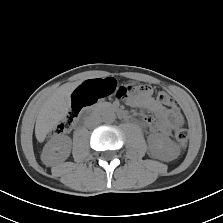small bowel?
I'll return each instance as SVG.
<instances>
[{"label": "small bowel", "mask_w": 223, "mask_h": 223, "mask_svg": "<svg viewBox=\"0 0 223 223\" xmlns=\"http://www.w3.org/2000/svg\"><path fill=\"white\" fill-rule=\"evenodd\" d=\"M132 106L142 107L152 112L155 117L145 115L143 122L152 134H168L184 123L181 112L176 107H164L153 97V90L143 86L136 90L132 97L125 99Z\"/></svg>", "instance_id": "c3829d8e"}]
</instances>
